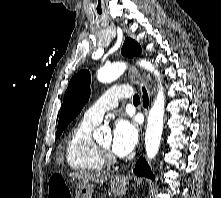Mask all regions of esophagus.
Returning <instances> with one entry per match:
<instances>
[{
	"label": "esophagus",
	"instance_id": "34e87169",
	"mask_svg": "<svg viewBox=\"0 0 221 198\" xmlns=\"http://www.w3.org/2000/svg\"><path fill=\"white\" fill-rule=\"evenodd\" d=\"M128 75L129 78L131 79V81L137 85L140 90H141V86H146L147 85V81H144L143 78L141 77L139 71L137 70L136 66L134 65H130L129 66V70H128ZM148 91V88H147ZM142 93V91H141ZM148 94L150 95V92L148 91Z\"/></svg>",
	"mask_w": 221,
	"mask_h": 198
}]
</instances>
